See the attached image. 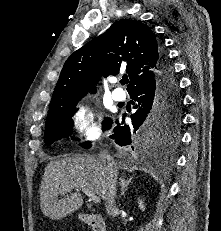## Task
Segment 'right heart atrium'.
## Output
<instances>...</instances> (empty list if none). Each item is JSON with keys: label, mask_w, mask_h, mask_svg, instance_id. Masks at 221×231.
Returning <instances> with one entry per match:
<instances>
[{"label": "right heart atrium", "mask_w": 221, "mask_h": 231, "mask_svg": "<svg viewBox=\"0 0 221 231\" xmlns=\"http://www.w3.org/2000/svg\"><path fill=\"white\" fill-rule=\"evenodd\" d=\"M77 130L87 140H96L102 136L100 124L96 121L93 112L87 107H81L74 116Z\"/></svg>", "instance_id": "right-heart-atrium-1"}]
</instances>
